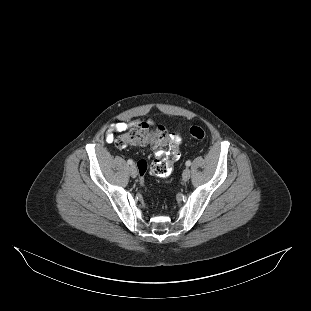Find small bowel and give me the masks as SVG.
Returning a JSON list of instances; mask_svg holds the SVG:
<instances>
[{"label": "small bowel", "mask_w": 311, "mask_h": 311, "mask_svg": "<svg viewBox=\"0 0 311 311\" xmlns=\"http://www.w3.org/2000/svg\"><path fill=\"white\" fill-rule=\"evenodd\" d=\"M135 124H137V122H129V123L116 122V123H113L112 125H110V127L107 131L106 141L108 143L113 142V139H114L113 133L114 132H122V131L128 130L129 128H131ZM173 138H174V143L176 145L179 146L182 143V139H181L180 135L174 134Z\"/></svg>", "instance_id": "obj_1"}]
</instances>
